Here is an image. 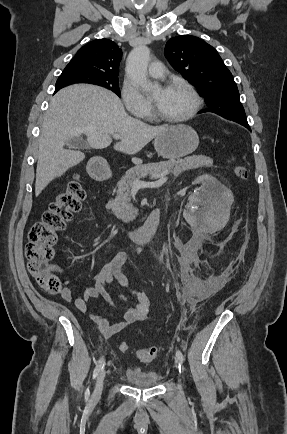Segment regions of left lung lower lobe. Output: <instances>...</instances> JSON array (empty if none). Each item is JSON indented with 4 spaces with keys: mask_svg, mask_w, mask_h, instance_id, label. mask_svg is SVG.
<instances>
[{
    "mask_svg": "<svg viewBox=\"0 0 287 434\" xmlns=\"http://www.w3.org/2000/svg\"><path fill=\"white\" fill-rule=\"evenodd\" d=\"M202 112H205V111H201V113ZM218 115H220V116H222L228 120H232L234 122H237V123L245 126L247 129H249L251 131V129L248 125L247 119L245 117V114L225 113V114H218Z\"/></svg>",
    "mask_w": 287,
    "mask_h": 434,
    "instance_id": "0a47b994",
    "label": "left lung lower lobe"
}]
</instances>
